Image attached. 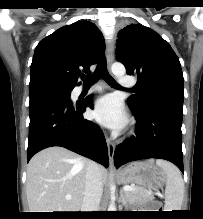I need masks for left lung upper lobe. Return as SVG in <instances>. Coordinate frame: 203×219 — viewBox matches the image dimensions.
I'll return each instance as SVG.
<instances>
[{
    "instance_id": "obj_1",
    "label": "left lung upper lobe",
    "mask_w": 203,
    "mask_h": 219,
    "mask_svg": "<svg viewBox=\"0 0 203 219\" xmlns=\"http://www.w3.org/2000/svg\"><path fill=\"white\" fill-rule=\"evenodd\" d=\"M118 37L117 59L139 80L138 93L128 98V104L139 111L152 103L183 104V73L169 43L141 24L125 27Z\"/></svg>"
}]
</instances>
